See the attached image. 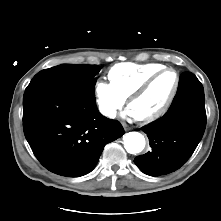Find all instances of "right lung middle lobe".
Segmentation results:
<instances>
[{"mask_svg":"<svg viewBox=\"0 0 221 221\" xmlns=\"http://www.w3.org/2000/svg\"><path fill=\"white\" fill-rule=\"evenodd\" d=\"M101 70L98 65L62 64L37 73L25 92L52 90L95 101V75Z\"/></svg>","mask_w":221,"mask_h":221,"instance_id":"right-lung-middle-lobe-1","label":"right lung middle lobe"}]
</instances>
